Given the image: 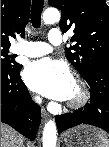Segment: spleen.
Listing matches in <instances>:
<instances>
[{
  "label": "spleen",
  "mask_w": 109,
  "mask_h": 147,
  "mask_svg": "<svg viewBox=\"0 0 109 147\" xmlns=\"http://www.w3.org/2000/svg\"><path fill=\"white\" fill-rule=\"evenodd\" d=\"M100 139L102 141V145L100 147H109V138L106 132H101Z\"/></svg>",
  "instance_id": "1"
}]
</instances>
